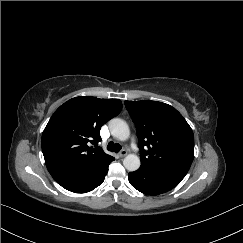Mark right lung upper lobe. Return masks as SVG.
I'll list each match as a JSON object with an SVG mask.
<instances>
[{"label": "right lung upper lobe", "instance_id": "cb5924a9", "mask_svg": "<svg viewBox=\"0 0 243 243\" xmlns=\"http://www.w3.org/2000/svg\"><path fill=\"white\" fill-rule=\"evenodd\" d=\"M121 109L119 99L81 96L54 112L42 134L45 163L54 180L83 172L109 156L97 147L100 128Z\"/></svg>", "mask_w": 243, "mask_h": 243}]
</instances>
